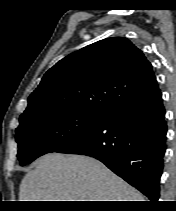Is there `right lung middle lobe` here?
I'll list each match as a JSON object with an SVG mask.
<instances>
[{
  "label": "right lung middle lobe",
  "mask_w": 176,
  "mask_h": 211,
  "mask_svg": "<svg viewBox=\"0 0 176 211\" xmlns=\"http://www.w3.org/2000/svg\"><path fill=\"white\" fill-rule=\"evenodd\" d=\"M107 114L77 109L49 108L20 118L15 139L23 166L37 157L56 152L101 124Z\"/></svg>",
  "instance_id": "obj_1"
}]
</instances>
